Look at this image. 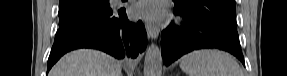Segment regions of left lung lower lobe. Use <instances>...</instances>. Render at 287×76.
<instances>
[{
    "label": "left lung lower lobe",
    "instance_id": "1",
    "mask_svg": "<svg viewBox=\"0 0 287 76\" xmlns=\"http://www.w3.org/2000/svg\"><path fill=\"white\" fill-rule=\"evenodd\" d=\"M174 13L184 16L186 20L181 27L171 23L161 34V52L166 66L190 51L204 48L230 52L245 65L237 32L181 8L175 7Z\"/></svg>",
    "mask_w": 287,
    "mask_h": 76
}]
</instances>
